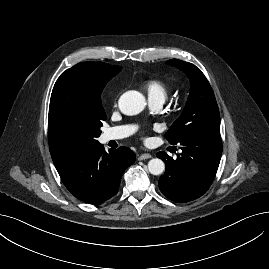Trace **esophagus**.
Here are the masks:
<instances>
[{
    "label": "esophagus",
    "mask_w": 269,
    "mask_h": 269,
    "mask_svg": "<svg viewBox=\"0 0 269 269\" xmlns=\"http://www.w3.org/2000/svg\"><path fill=\"white\" fill-rule=\"evenodd\" d=\"M152 156L149 153H142L140 155H138V160H146V159H150Z\"/></svg>",
    "instance_id": "1"
}]
</instances>
